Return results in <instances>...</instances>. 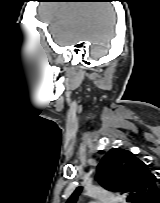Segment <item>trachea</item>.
I'll use <instances>...</instances> for the list:
<instances>
[{"mask_svg":"<svg viewBox=\"0 0 160 203\" xmlns=\"http://www.w3.org/2000/svg\"><path fill=\"white\" fill-rule=\"evenodd\" d=\"M130 200H131V197H128V198H127V201L130 202Z\"/></svg>","mask_w":160,"mask_h":203,"instance_id":"trachea-1","label":"trachea"}]
</instances>
